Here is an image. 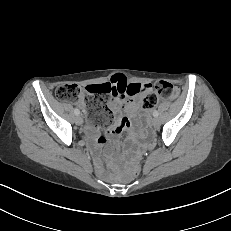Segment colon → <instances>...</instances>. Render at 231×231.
<instances>
[{"instance_id": "colon-1", "label": "colon", "mask_w": 231, "mask_h": 231, "mask_svg": "<svg viewBox=\"0 0 231 231\" xmlns=\"http://www.w3.org/2000/svg\"><path fill=\"white\" fill-rule=\"evenodd\" d=\"M114 88L109 84H95L86 87L84 90L74 84H64L59 86L56 91V97L61 101L79 102L82 94L86 93L85 111L89 114L90 120L99 125H106L112 118V113L107 106V100L111 97ZM177 94L173 84L160 81L153 85L152 91L148 92L143 100L145 108L154 107L160 97L174 98ZM141 170V162L135 159L131 165V174L136 176Z\"/></svg>"}]
</instances>
